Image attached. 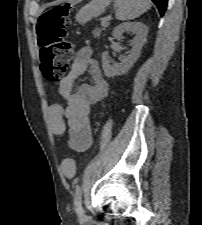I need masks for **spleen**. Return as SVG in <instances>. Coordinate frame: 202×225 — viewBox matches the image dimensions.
Returning a JSON list of instances; mask_svg holds the SVG:
<instances>
[{
	"label": "spleen",
	"mask_w": 202,
	"mask_h": 225,
	"mask_svg": "<svg viewBox=\"0 0 202 225\" xmlns=\"http://www.w3.org/2000/svg\"><path fill=\"white\" fill-rule=\"evenodd\" d=\"M116 18L120 21L132 20L147 12L150 0H115Z\"/></svg>",
	"instance_id": "obj_1"
}]
</instances>
